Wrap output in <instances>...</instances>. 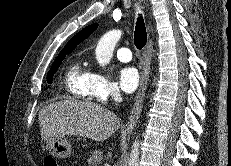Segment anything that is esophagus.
Returning a JSON list of instances; mask_svg holds the SVG:
<instances>
[{
	"instance_id": "obj_1",
	"label": "esophagus",
	"mask_w": 231,
	"mask_h": 166,
	"mask_svg": "<svg viewBox=\"0 0 231 166\" xmlns=\"http://www.w3.org/2000/svg\"><path fill=\"white\" fill-rule=\"evenodd\" d=\"M152 51H153V40L150 39L148 41V44L143 54V71L141 75L140 86L136 94L135 102L133 104L130 116L128 118V122L126 123L123 129L125 133H129L132 131V129L136 125L139 119V116L141 114V110L143 107V101L145 98V93H146V89H147L148 82H149Z\"/></svg>"
}]
</instances>
